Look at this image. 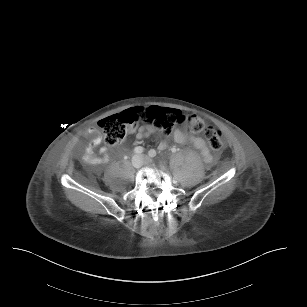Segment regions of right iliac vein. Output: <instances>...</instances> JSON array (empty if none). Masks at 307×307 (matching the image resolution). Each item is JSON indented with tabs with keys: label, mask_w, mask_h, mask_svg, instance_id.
I'll use <instances>...</instances> for the list:
<instances>
[{
	"label": "right iliac vein",
	"mask_w": 307,
	"mask_h": 307,
	"mask_svg": "<svg viewBox=\"0 0 307 307\" xmlns=\"http://www.w3.org/2000/svg\"><path fill=\"white\" fill-rule=\"evenodd\" d=\"M131 162H132L133 167L135 168H139L142 165V159L140 158V156H137V155L132 157Z\"/></svg>",
	"instance_id": "63e3f726"
}]
</instances>
